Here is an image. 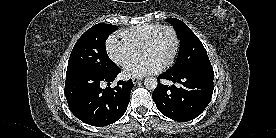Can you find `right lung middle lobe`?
<instances>
[{
  "label": "right lung middle lobe",
  "instance_id": "dd1d6c3e",
  "mask_svg": "<svg viewBox=\"0 0 276 138\" xmlns=\"http://www.w3.org/2000/svg\"><path fill=\"white\" fill-rule=\"evenodd\" d=\"M112 24H96L88 29L76 42L67 66L66 77L82 72H108L116 65L106 53L105 41L117 30Z\"/></svg>",
  "mask_w": 276,
  "mask_h": 138
}]
</instances>
